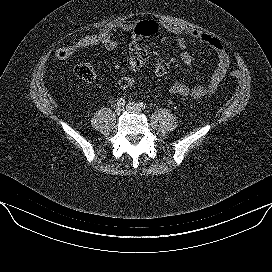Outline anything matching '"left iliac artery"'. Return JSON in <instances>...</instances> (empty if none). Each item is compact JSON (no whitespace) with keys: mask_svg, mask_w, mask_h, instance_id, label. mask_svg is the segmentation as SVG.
<instances>
[{"mask_svg":"<svg viewBox=\"0 0 272 272\" xmlns=\"http://www.w3.org/2000/svg\"><path fill=\"white\" fill-rule=\"evenodd\" d=\"M139 106H140L141 109H145L146 108V104H144L143 102H140Z\"/></svg>","mask_w":272,"mask_h":272,"instance_id":"obj_1","label":"left iliac artery"}]
</instances>
